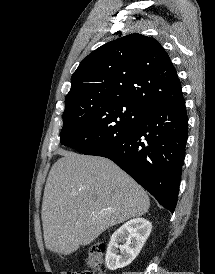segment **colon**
Wrapping results in <instances>:
<instances>
[{
    "label": "colon",
    "mask_w": 215,
    "mask_h": 274,
    "mask_svg": "<svg viewBox=\"0 0 215 274\" xmlns=\"http://www.w3.org/2000/svg\"><path fill=\"white\" fill-rule=\"evenodd\" d=\"M106 251V245L103 241H96L89 249L87 258V264L89 269L85 271L70 270L64 274H104L105 261L104 255Z\"/></svg>",
    "instance_id": "1"
}]
</instances>
